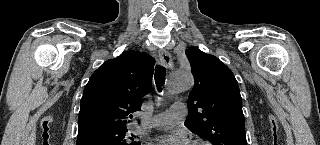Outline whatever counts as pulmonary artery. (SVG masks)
<instances>
[{"instance_id": "obj_1", "label": "pulmonary artery", "mask_w": 320, "mask_h": 145, "mask_svg": "<svg viewBox=\"0 0 320 145\" xmlns=\"http://www.w3.org/2000/svg\"><path fill=\"white\" fill-rule=\"evenodd\" d=\"M186 106L175 103L168 111L153 116L147 123L148 127L164 128L179 123L185 116Z\"/></svg>"}]
</instances>
